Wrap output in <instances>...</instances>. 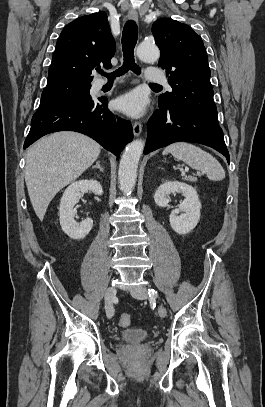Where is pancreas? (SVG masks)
Masks as SVG:
<instances>
[{
    "label": "pancreas",
    "instance_id": "1",
    "mask_svg": "<svg viewBox=\"0 0 265 407\" xmlns=\"http://www.w3.org/2000/svg\"><path fill=\"white\" fill-rule=\"evenodd\" d=\"M183 179L186 180V181H190V182H196L197 181V178L193 177V176H185Z\"/></svg>",
    "mask_w": 265,
    "mask_h": 407
}]
</instances>
